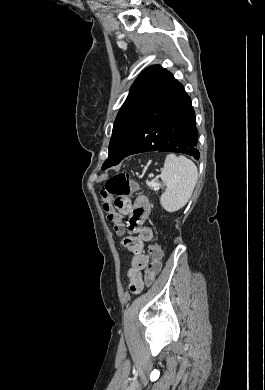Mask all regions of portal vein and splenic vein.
I'll return each instance as SVG.
<instances>
[{
  "mask_svg": "<svg viewBox=\"0 0 265 390\" xmlns=\"http://www.w3.org/2000/svg\"><path fill=\"white\" fill-rule=\"evenodd\" d=\"M151 186H152V188H155V189H156V187H157V183H155V182H152V183H151Z\"/></svg>",
  "mask_w": 265,
  "mask_h": 390,
  "instance_id": "1",
  "label": "portal vein and splenic vein"
}]
</instances>
